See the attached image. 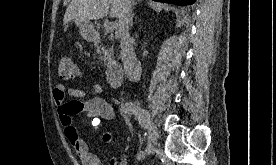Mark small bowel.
I'll return each mask as SVG.
<instances>
[{
	"label": "small bowel",
	"mask_w": 276,
	"mask_h": 165,
	"mask_svg": "<svg viewBox=\"0 0 276 165\" xmlns=\"http://www.w3.org/2000/svg\"><path fill=\"white\" fill-rule=\"evenodd\" d=\"M102 87L92 83L87 89L66 87L58 84L53 89V100L57 106V113L65 137L75 150L82 165H101L100 158L93 154L89 146L79 134L74 116L85 112L92 116V125L99 126L103 120L110 121L114 118L113 107L101 96ZM70 98V100H67ZM109 165H127L126 156L112 157Z\"/></svg>",
	"instance_id": "obj_1"
}]
</instances>
